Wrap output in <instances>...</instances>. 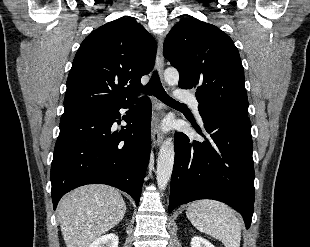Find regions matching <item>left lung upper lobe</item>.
Here are the masks:
<instances>
[{"instance_id":"1","label":"left lung upper lobe","mask_w":310,"mask_h":247,"mask_svg":"<svg viewBox=\"0 0 310 247\" xmlns=\"http://www.w3.org/2000/svg\"><path fill=\"white\" fill-rule=\"evenodd\" d=\"M163 53L179 71V87L197 90L201 116L216 112L247 116L244 69L226 33L196 19H182L167 35Z\"/></svg>"}]
</instances>
